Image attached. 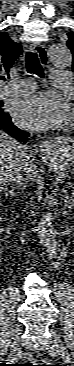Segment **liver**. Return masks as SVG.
Returning <instances> with one entry per match:
<instances>
[{"instance_id":"1","label":"liver","mask_w":74,"mask_h":366,"mask_svg":"<svg viewBox=\"0 0 74 366\" xmlns=\"http://www.w3.org/2000/svg\"><path fill=\"white\" fill-rule=\"evenodd\" d=\"M26 146L20 144L16 139L4 131H0V189H4L7 183L12 181L19 169L20 156L22 152L24 157L23 172L28 180H33L37 174L34 160L25 150Z\"/></svg>"}]
</instances>
